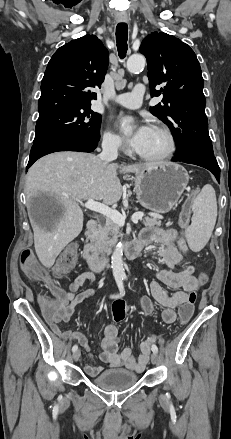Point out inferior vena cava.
Listing matches in <instances>:
<instances>
[{
	"instance_id": "602c4592",
	"label": "inferior vena cava",
	"mask_w": 231,
	"mask_h": 439,
	"mask_svg": "<svg viewBox=\"0 0 231 439\" xmlns=\"http://www.w3.org/2000/svg\"><path fill=\"white\" fill-rule=\"evenodd\" d=\"M118 146L119 143L113 140H106L102 142V152L100 154V159L103 162H110L118 157Z\"/></svg>"
}]
</instances>
